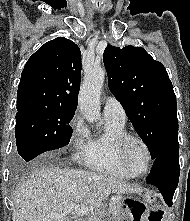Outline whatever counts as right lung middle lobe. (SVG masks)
<instances>
[{
  "label": "right lung middle lobe",
  "instance_id": "dd1d6c3e",
  "mask_svg": "<svg viewBox=\"0 0 190 221\" xmlns=\"http://www.w3.org/2000/svg\"><path fill=\"white\" fill-rule=\"evenodd\" d=\"M74 113V110L47 107L18 112L15 137L19 155L28 162L43 152L67 145Z\"/></svg>",
  "mask_w": 190,
  "mask_h": 221
}]
</instances>
